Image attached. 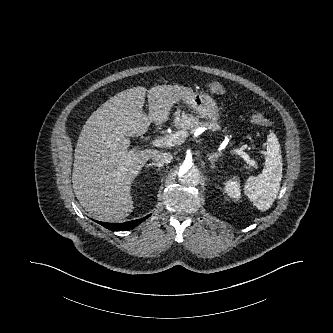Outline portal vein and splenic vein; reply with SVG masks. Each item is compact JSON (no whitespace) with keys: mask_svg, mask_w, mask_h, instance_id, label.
<instances>
[{"mask_svg":"<svg viewBox=\"0 0 333 333\" xmlns=\"http://www.w3.org/2000/svg\"><path fill=\"white\" fill-rule=\"evenodd\" d=\"M184 138L185 132L179 131L175 134L155 139L151 142V144L156 147H171L174 145H180L183 142ZM233 151L239 156H241L247 163L251 162L249 155L243 152L242 149H233Z\"/></svg>","mask_w":333,"mask_h":333,"instance_id":"obj_1","label":"portal vein and splenic vein"}]
</instances>
